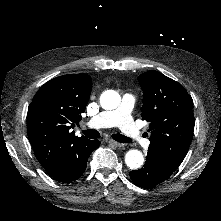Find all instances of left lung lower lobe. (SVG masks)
Returning <instances> with one entry per match:
<instances>
[{
	"label": "left lung lower lobe",
	"instance_id": "obj_1",
	"mask_svg": "<svg viewBox=\"0 0 221 221\" xmlns=\"http://www.w3.org/2000/svg\"><path fill=\"white\" fill-rule=\"evenodd\" d=\"M176 168L166 164L159 154L148 149L144 166L130 172V178L142 188L150 189L165 181Z\"/></svg>",
	"mask_w": 221,
	"mask_h": 221
}]
</instances>
